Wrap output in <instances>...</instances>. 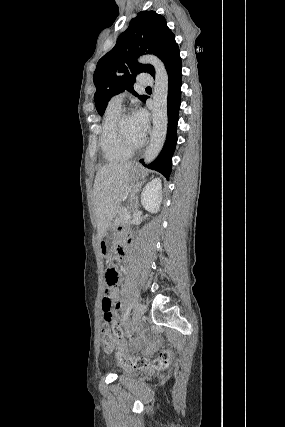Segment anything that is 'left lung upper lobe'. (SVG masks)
Listing matches in <instances>:
<instances>
[{
	"label": "left lung upper lobe",
	"instance_id": "5c2ea615",
	"mask_svg": "<svg viewBox=\"0 0 285 427\" xmlns=\"http://www.w3.org/2000/svg\"><path fill=\"white\" fill-rule=\"evenodd\" d=\"M179 53L175 35L167 27L165 18L155 11L139 12L130 21L128 29L118 37L115 47L97 63L93 81L98 113L102 116L108 101L125 89L146 101L148 97L136 94L132 85L138 73L147 72L154 76L155 71L150 64L138 63L137 57L154 54L167 69Z\"/></svg>",
	"mask_w": 285,
	"mask_h": 427
}]
</instances>
